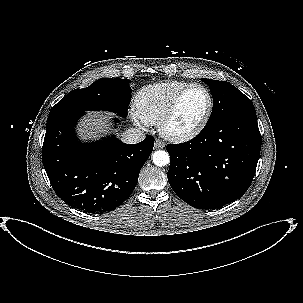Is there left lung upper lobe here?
Returning a JSON list of instances; mask_svg holds the SVG:
<instances>
[{"mask_svg": "<svg viewBox=\"0 0 303 303\" xmlns=\"http://www.w3.org/2000/svg\"><path fill=\"white\" fill-rule=\"evenodd\" d=\"M201 80L209 85L213 97V109L206 125L226 118L255 113L252 101L230 83L212 79Z\"/></svg>", "mask_w": 303, "mask_h": 303, "instance_id": "1", "label": "left lung upper lobe"}]
</instances>
